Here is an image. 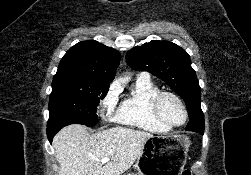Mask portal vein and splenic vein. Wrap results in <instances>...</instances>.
<instances>
[{
    "label": "portal vein and splenic vein",
    "mask_w": 251,
    "mask_h": 175,
    "mask_svg": "<svg viewBox=\"0 0 251 175\" xmlns=\"http://www.w3.org/2000/svg\"><path fill=\"white\" fill-rule=\"evenodd\" d=\"M101 163H106V161H110V157H102V159H100Z\"/></svg>",
    "instance_id": "portal-vein-and-splenic-vein-1"
}]
</instances>
